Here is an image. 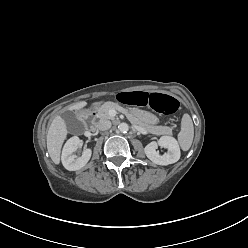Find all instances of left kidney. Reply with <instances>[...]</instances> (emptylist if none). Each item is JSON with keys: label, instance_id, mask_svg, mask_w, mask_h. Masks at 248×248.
Returning <instances> with one entry per match:
<instances>
[{"label": "left kidney", "instance_id": "5707ae66", "mask_svg": "<svg viewBox=\"0 0 248 248\" xmlns=\"http://www.w3.org/2000/svg\"><path fill=\"white\" fill-rule=\"evenodd\" d=\"M158 146L167 149V153L160 155ZM146 156L155 164L169 165L180 159V148L175 138L162 136L157 142L152 141L144 148Z\"/></svg>", "mask_w": 248, "mask_h": 248}]
</instances>
